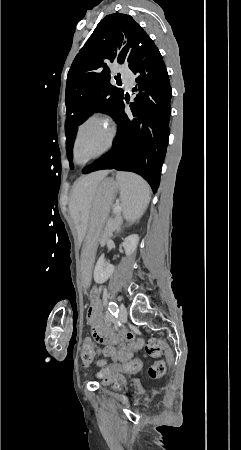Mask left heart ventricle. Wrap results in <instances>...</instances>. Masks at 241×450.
<instances>
[{
	"label": "left heart ventricle",
	"mask_w": 241,
	"mask_h": 450,
	"mask_svg": "<svg viewBox=\"0 0 241 450\" xmlns=\"http://www.w3.org/2000/svg\"><path fill=\"white\" fill-rule=\"evenodd\" d=\"M98 122H105V121L99 117H92V118L88 119L86 122H84L83 127H79V129H78V130H80V129L86 130L87 134H89L86 137H84L85 140L89 141V144H88L89 147L86 150H92L93 148L98 149L97 147L99 145L96 144V141L102 140V138L104 136L106 127H98L96 125ZM87 157L89 159H94L96 157V154L94 152H89L87 154Z\"/></svg>",
	"instance_id": "b2bd125f"
}]
</instances>
